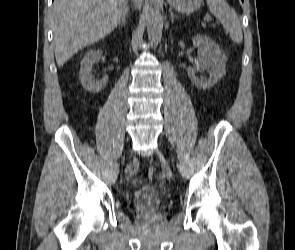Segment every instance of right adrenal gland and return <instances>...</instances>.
<instances>
[{
	"label": "right adrenal gland",
	"mask_w": 295,
	"mask_h": 250,
	"mask_svg": "<svg viewBox=\"0 0 295 250\" xmlns=\"http://www.w3.org/2000/svg\"><path fill=\"white\" fill-rule=\"evenodd\" d=\"M128 16V7H125V10L122 14L121 20L119 21L118 25L122 24V25H126V17Z\"/></svg>",
	"instance_id": "obj_1"
}]
</instances>
